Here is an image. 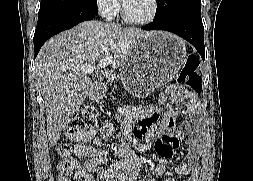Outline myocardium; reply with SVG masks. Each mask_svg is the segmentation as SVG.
I'll return each instance as SVG.
<instances>
[{"label":"myocardium","mask_w":253,"mask_h":181,"mask_svg":"<svg viewBox=\"0 0 253 181\" xmlns=\"http://www.w3.org/2000/svg\"><path fill=\"white\" fill-rule=\"evenodd\" d=\"M158 11H159V1L152 0V10L149 16L144 19H135L128 15L123 3L121 5V16L123 20L128 24L136 25V26H146V25L151 24L157 17Z\"/></svg>","instance_id":"1"}]
</instances>
